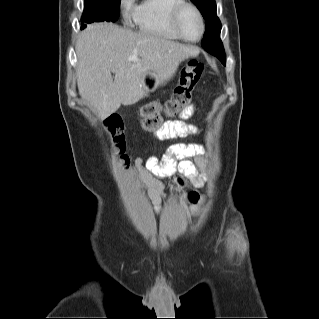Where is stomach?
<instances>
[{"label": "stomach", "mask_w": 319, "mask_h": 319, "mask_svg": "<svg viewBox=\"0 0 319 319\" xmlns=\"http://www.w3.org/2000/svg\"><path fill=\"white\" fill-rule=\"evenodd\" d=\"M142 80L146 93L155 91L159 85L157 76L152 72L144 73Z\"/></svg>", "instance_id": "0dacf381"}]
</instances>
